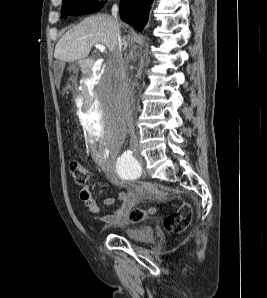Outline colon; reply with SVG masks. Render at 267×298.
Returning <instances> with one entry per match:
<instances>
[{"instance_id":"obj_1","label":"colon","mask_w":267,"mask_h":298,"mask_svg":"<svg viewBox=\"0 0 267 298\" xmlns=\"http://www.w3.org/2000/svg\"><path fill=\"white\" fill-rule=\"evenodd\" d=\"M68 168L73 182L84 185L88 180V169L80 161L71 159ZM156 212L155 207L134 208L129 213V220L138 223ZM192 220V209L189 204H182L176 211L168 214L163 222L164 228L171 233H181L187 229Z\"/></svg>"}]
</instances>
